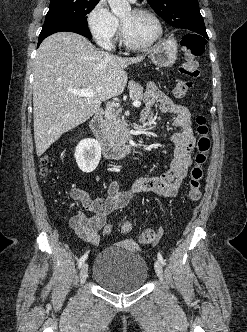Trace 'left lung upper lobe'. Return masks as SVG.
Listing matches in <instances>:
<instances>
[{
	"mask_svg": "<svg viewBox=\"0 0 247 332\" xmlns=\"http://www.w3.org/2000/svg\"><path fill=\"white\" fill-rule=\"evenodd\" d=\"M148 3L171 26L208 38L198 0H148Z\"/></svg>",
	"mask_w": 247,
	"mask_h": 332,
	"instance_id": "1",
	"label": "left lung upper lobe"
}]
</instances>
